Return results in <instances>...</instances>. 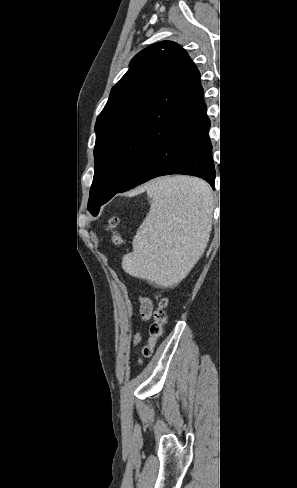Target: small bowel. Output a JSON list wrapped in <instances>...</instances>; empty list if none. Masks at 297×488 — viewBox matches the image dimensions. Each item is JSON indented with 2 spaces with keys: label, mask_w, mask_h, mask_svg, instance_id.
Returning <instances> with one entry per match:
<instances>
[{
  "label": "small bowel",
  "mask_w": 297,
  "mask_h": 488,
  "mask_svg": "<svg viewBox=\"0 0 297 488\" xmlns=\"http://www.w3.org/2000/svg\"><path fill=\"white\" fill-rule=\"evenodd\" d=\"M159 294L156 295V299H158ZM153 309V300L148 298H142L140 300V314L144 319H148L151 315Z\"/></svg>",
  "instance_id": "obj_1"
}]
</instances>
